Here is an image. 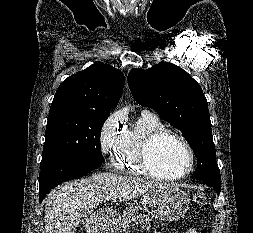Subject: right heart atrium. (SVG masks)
<instances>
[{
    "mask_svg": "<svg viewBox=\"0 0 253 233\" xmlns=\"http://www.w3.org/2000/svg\"><path fill=\"white\" fill-rule=\"evenodd\" d=\"M123 130V118L120 113H113L105 120L99 135L100 150L103 155H109L115 150Z\"/></svg>",
    "mask_w": 253,
    "mask_h": 233,
    "instance_id": "d8ad5b80",
    "label": "right heart atrium"
}]
</instances>
